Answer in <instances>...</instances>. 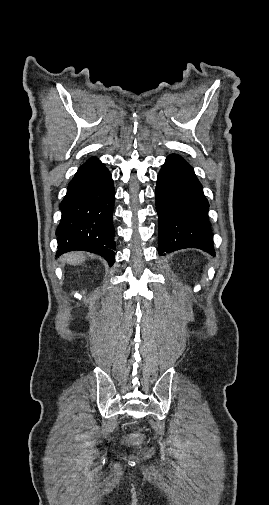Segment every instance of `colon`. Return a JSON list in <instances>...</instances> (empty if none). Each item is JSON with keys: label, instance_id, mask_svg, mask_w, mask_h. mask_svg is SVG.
Returning <instances> with one entry per match:
<instances>
[{"label": "colon", "instance_id": "5ec220e1", "mask_svg": "<svg viewBox=\"0 0 269 505\" xmlns=\"http://www.w3.org/2000/svg\"><path fill=\"white\" fill-rule=\"evenodd\" d=\"M129 440H130L131 442H134V441H136V440H137V438H136V437H131Z\"/></svg>", "mask_w": 269, "mask_h": 505}]
</instances>
